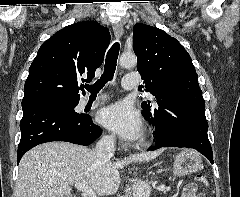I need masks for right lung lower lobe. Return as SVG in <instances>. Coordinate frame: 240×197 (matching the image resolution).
Listing matches in <instances>:
<instances>
[{
	"label": "right lung lower lobe",
	"instance_id": "1",
	"mask_svg": "<svg viewBox=\"0 0 240 197\" xmlns=\"http://www.w3.org/2000/svg\"><path fill=\"white\" fill-rule=\"evenodd\" d=\"M22 109L17 163L28 150L38 144L65 141L87 146L101 135V128L92 122L89 115L81 118L70 116L52 103L29 104Z\"/></svg>",
	"mask_w": 240,
	"mask_h": 197
}]
</instances>
